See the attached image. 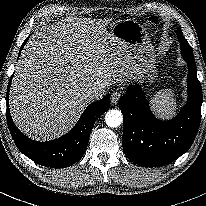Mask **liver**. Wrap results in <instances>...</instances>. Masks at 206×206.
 Instances as JSON below:
<instances>
[{
  "label": "liver",
  "mask_w": 206,
  "mask_h": 206,
  "mask_svg": "<svg viewBox=\"0 0 206 206\" xmlns=\"http://www.w3.org/2000/svg\"><path fill=\"white\" fill-rule=\"evenodd\" d=\"M105 24L69 16L31 36L9 98L12 119L27 136L44 141L65 134L92 102L91 89L138 78L129 49Z\"/></svg>",
  "instance_id": "obj_1"
}]
</instances>
